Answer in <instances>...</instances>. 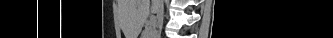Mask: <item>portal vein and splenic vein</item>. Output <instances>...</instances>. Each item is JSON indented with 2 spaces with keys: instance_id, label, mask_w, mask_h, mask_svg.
<instances>
[{
  "instance_id": "obj_1",
  "label": "portal vein and splenic vein",
  "mask_w": 333,
  "mask_h": 38,
  "mask_svg": "<svg viewBox=\"0 0 333 38\" xmlns=\"http://www.w3.org/2000/svg\"><path fill=\"white\" fill-rule=\"evenodd\" d=\"M155 21H156V17L155 16H151L150 17V25H153Z\"/></svg>"
}]
</instances>
